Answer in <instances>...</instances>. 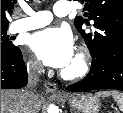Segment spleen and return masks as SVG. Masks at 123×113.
<instances>
[{"label": "spleen", "mask_w": 123, "mask_h": 113, "mask_svg": "<svg viewBox=\"0 0 123 113\" xmlns=\"http://www.w3.org/2000/svg\"><path fill=\"white\" fill-rule=\"evenodd\" d=\"M97 95L102 97H108L112 95V97L117 102L119 109L123 112V93L118 91H103L99 92Z\"/></svg>", "instance_id": "spleen-1"}]
</instances>
